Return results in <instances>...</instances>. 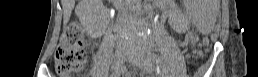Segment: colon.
Wrapping results in <instances>:
<instances>
[{
	"label": "colon",
	"mask_w": 258,
	"mask_h": 77,
	"mask_svg": "<svg viewBox=\"0 0 258 77\" xmlns=\"http://www.w3.org/2000/svg\"><path fill=\"white\" fill-rule=\"evenodd\" d=\"M86 61L81 26L77 23L66 27L62 41L55 52L56 70L61 76L79 74Z\"/></svg>",
	"instance_id": "5ec220e1"
}]
</instances>
